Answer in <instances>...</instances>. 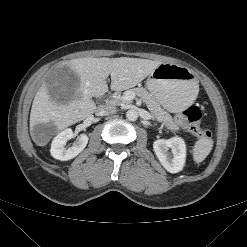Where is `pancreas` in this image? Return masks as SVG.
<instances>
[{
  "label": "pancreas",
  "instance_id": "cf45deb5",
  "mask_svg": "<svg viewBox=\"0 0 247 247\" xmlns=\"http://www.w3.org/2000/svg\"><path fill=\"white\" fill-rule=\"evenodd\" d=\"M135 96L142 98V100L146 103L148 109L155 117V119L161 122L168 130L171 132H177L179 130L178 125L173 121L171 115L165 112L161 106L157 103L154 97L144 88H134L128 90ZM127 92V91H126ZM126 92L123 95H117L112 99V104L121 105L129 103L130 100H126L124 98Z\"/></svg>",
  "mask_w": 247,
  "mask_h": 247
}]
</instances>
